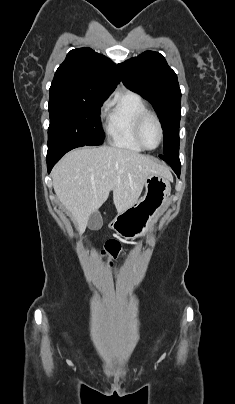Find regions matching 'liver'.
I'll use <instances>...</instances> for the list:
<instances>
[{
  "label": "liver",
  "instance_id": "1",
  "mask_svg": "<svg viewBox=\"0 0 235 404\" xmlns=\"http://www.w3.org/2000/svg\"><path fill=\"white\" fill-rule=\"evenodd\" d=\"M51 175L54 191L80 233L110 191L117 212L121 213L138 201L149 176L172 179L168 167L148 156L114 146L72 150L55 165Z\"/></svg>",
  "mask_w": 235,
  "mask_h": 404
}]
</instances>
